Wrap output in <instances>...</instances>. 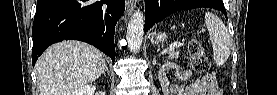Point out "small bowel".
Masks as SVG:
<instances>
[{
	"mask_svg": "<svg viewBox=\"0 0 277 95\" xmlns=\"http://www.w3.org/2000/svg\"><path fill=\"white\" fill-rule=\"evenodd\" d=\"M179 80L185 82L181 87H170L166 95H219L220 89L209 82L206 76L195 77L189 69H181L177 73Z\"/></svg>",
	"mask_w": 277,
	"mask_h": 95,
	"instance_id": "1",
	"label": "small bowel"
}]
</instances>
